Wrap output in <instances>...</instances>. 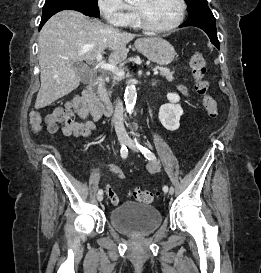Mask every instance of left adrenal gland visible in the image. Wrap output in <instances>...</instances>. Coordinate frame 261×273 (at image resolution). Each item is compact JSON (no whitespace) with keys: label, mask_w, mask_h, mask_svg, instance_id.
<instances>
[{"label":"left adrenal gland","mask_w":261,"mask_h":273,"mask_svg":"<svg viewBox=\"0 0 261 273\" xmlns=\"http://www.w3.org/2000/svg\"><path fill=\"white\" fill-rule=\"evenodd\" d=\"M156 82H157V81H154L153 85H155V84H156Z\"/></svg>","instance_id":"a2214340"}]
</instances>
